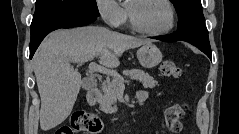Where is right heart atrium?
I'll return each instance as SVG.
<instances>
[{"label":"right heart atrium","mask_w":239,"mask_h":134,"mask_svg":"<svg viewBox=\"0 0 239 134\" xmlns=\"http://www.w3.org/2000/svg\"><path fill=\"white\" fill-rule=\"evenodd\" d=\"M96 8L102 20L110 27H119L126 20V11L116 0H97Z\"/></svg>","instance_id":"1"}]
</instances>
